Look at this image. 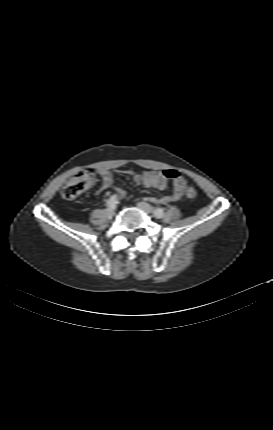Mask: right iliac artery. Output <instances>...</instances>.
Masks as SVG:
<instances>
[{
  "label": "right iliac artery",
  "instance_id": "obj_1",
  "mask_svg": "<svg viewBox=\"0 0 273 430\" xmlns=\"http://www.w3.org/2000/svg\"><path fill=\"white\" fill-rule=\"evenodd\" d=\"M118 203V197L116 194L112 195L108 200H107V206L109 208L115 209L116 204Z\"/></svg>",
  "mask_w": 273,
  "mask_h": 430
}]
</instances>
